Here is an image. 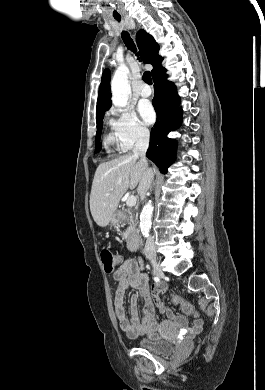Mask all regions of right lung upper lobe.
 <instances>
[{
	"label": "right lung upper lobe",
	"mask_w": 265,
	"mask_h": 390,
	"mask_svg": "<svg viewBox=\"0 0 265 390\" xmlns=\"http://www.w3.org/2000/svg\"><path fill=\"white\" fill-rule=\"evenodd\" d=\"M136 42L141 52V58L145 63L151 64V71L154 78L164 68L161 66L163 58L158 55L159 46L154 38L144 30H139L136 35ZM111 92H110V71L106 69L102 74V81L99 87L96 119L104 115L111 107Z\"/></svg>",
	"instance_id": "1"
}]
</instances>
